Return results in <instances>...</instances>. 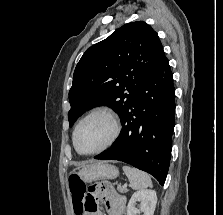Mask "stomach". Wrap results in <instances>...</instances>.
I'll return each mask as SVG.
<instances>
[{
    "mask_svg": "<svg viewBox=\"0 0 223 215\" xmlns=\"http://www.w3.org/2000/svg\"><path fill=\"white\" fill-rule=\"evenodd\" d=\"M118 173L119 171L115 165H111L108 161H98V163H91V165L83 167V169L77 171L74 177H79L84 183H92V181H98V179H114ZM69 189L71 191V187Z\"/></svg>",
    "mask_w": 223,
    "mask_h": 215,
    "instance_id": "0dacf381",
    "label": "stomach"
}]
</instances>
